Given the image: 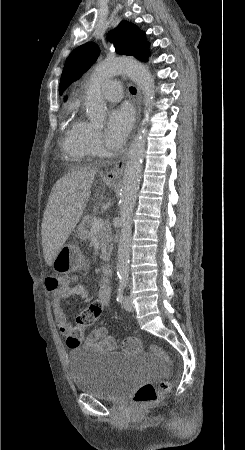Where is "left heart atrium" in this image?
<instances>
[{
    "label": "left heart atrium",
    "mask_w": 245,
    "mask_h": 450,
    "mask_svg": "<svg viewBox=\"0 0 245 450\" xmlns=\"http://www.w3.org/2000/svg\"><path fill=\"white\" fill-rule=\"evenodd\" d=\"M133 121L134 112L128 104H122L110 112L105 132L110 148L117 149L127 140Z\"/></svg>",
    "instance_id": "1"
}]
</instances>
